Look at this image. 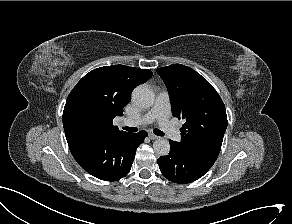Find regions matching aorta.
Instances as JSON below:
<instances>
[{
  "label": "aorta",
  "mask_w": 292,
  "mask_h": 224,
  "mask_svg": "<svg viewBox=\"0 0 292 224\" xmlns=\"http://www.w3.org/2000/svg\"><path fill=\"white\" fill-rule=\"evenodd\" d=\"M132 100L141 108H150L154 103V93L147 86L139 85L133 90ZM153 149L157 155L166 156L170 151L169 141L159 138L154 141Z\"/></svg>",
  "instance_id": "1"
}]
</instances>
